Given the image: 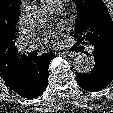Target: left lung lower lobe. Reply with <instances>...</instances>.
I'll return each mask as SVG.
<instances>
[{
	"label": "left lung lower lobe",
	"mask_w": 113,
	"mask_h": 113,
	"mask_svg": "<svg viewBox=\"0 0 113 113\" xmlns=\"http://www.w3.org/2000/svg\"><path fill=\"white\" fill-rule=\"evenodd\" d=\"M91 45L93 46L95 66L89 73L77 74L76 80L82 89L95 92L107 87L113 79V48L98 42Z\"/></svg>",
	"instance_id": "0a47b994"
}]
</instances>
